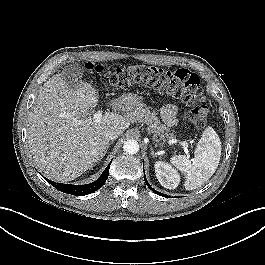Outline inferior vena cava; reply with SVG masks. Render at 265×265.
<instances>
[{"instance_id":"602c4592","label":"inferior vena cava","mask_w":265,"mask_h":265,"mask_svg":"<svg viewBox=\"0 0 265 265\" xmlns=\"http://www.w3.org/2000/svg\"><path fill=\"white\" fill-rule=\"evenodd\" d=\"M104 137L106 140H113V139H116L118 137V134L115 131H107L104 134Z\"/></svg>"}]
</instances>
